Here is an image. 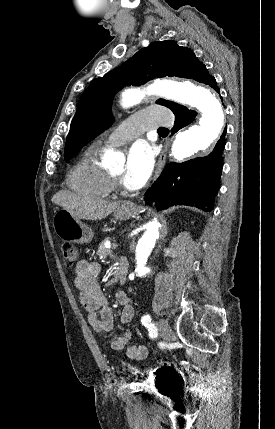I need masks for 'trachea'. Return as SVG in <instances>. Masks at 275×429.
Listing matches in <instances>:
<instances>
[{
	"mask_svg": "<svg viewBox=\"0 0 275 429\" xmlns=\"http://www.w3.org/2000/svg\"><path fill=\"white\" fill-rule=\"evenodd\" d=\"M158 131H168V129L164 128V127H161V128L158 129Z\"/></svg>",
	"mask_w": 275,
	"mask_h": 429,
	"instance_id": "obj_1",
	"label": "trachea"
}]
</instances>
